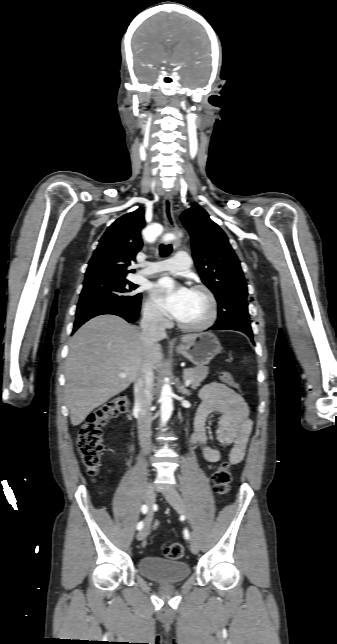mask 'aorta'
Listing matches in <instances>:
<instances>
[{"label":"aorta","mask_w":337,"mask_h":644,"mask_svg":"<svg viewBox=\"0 0 337 644\" xmlns=\"http://www.w3.org/2000/svg\"><path fill=\"white\" fill-rule=\"evenodd\" d=\"M161 233V229H151L147 233V240L149 242H153L156 237ZM173 393L170 385L164 384L162 386L161 394H160V402H161V426H165L168 420L170 419L172 412H173Z\"/></svg>","instance_id":"aorta-1"}]
</instances>
